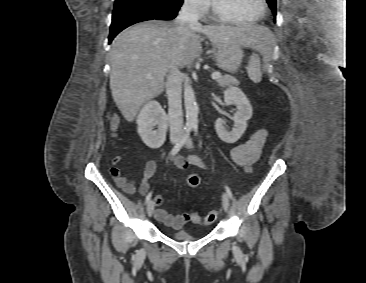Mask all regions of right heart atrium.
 <instances>
[{
	"mask_svg": "<svg viewBox=\"0 0 366 283\" xmlns=\"http://www.w3.org/2000/svg\"><path fill=\"white\" fill-rule=\"evenodd\" d=\"M184 6L193 15L201 17L209 9V0H184Z\"/></svg>",
	"mask_w": 366,
	"mask_h": 283,
	"instance_id": "d8ad5b80",
	"label": "right heart atrium"
}]
</instances>
